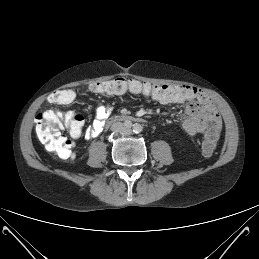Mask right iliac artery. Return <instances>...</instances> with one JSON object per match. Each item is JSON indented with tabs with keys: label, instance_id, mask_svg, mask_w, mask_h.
<instances>
[{
	"label": "right iliac artery",
	"instance_id": "obj_1",
	"mask_svg": "<svg viewBox=\"0 0 259 259\" xmlns=\"http://www.w3.org/2000/svg\"><path fill=\"white\" fill-rule=\"evenodd\" d=\"M132 126V123H126V127L130 128Z\"/></svg>",
	"mask_w": 259,
	"mask_h": 259
}]
</instances>
